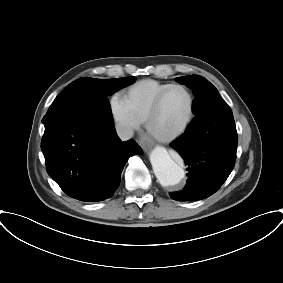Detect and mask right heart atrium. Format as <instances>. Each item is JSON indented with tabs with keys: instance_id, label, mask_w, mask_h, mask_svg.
Wrapping results in <instances>:
<instances>
[{
	"instance_id": "1",
	"label": "right heart atrium",
	"mask_w": 283,
	"mask_h": 283,
	"mask_svg": "<svg viewBox=\"0 0 283 283\" xmlns=\"http://www.w3.org/2000/svg\"><path fill=\"white\" fill-rule=\"evenodd\" d=\"M111 116L122 136L128 138L139 129L140 123L131 113L124 99L118 95L110 99Z\"/></svg>"
}]
</instances>
